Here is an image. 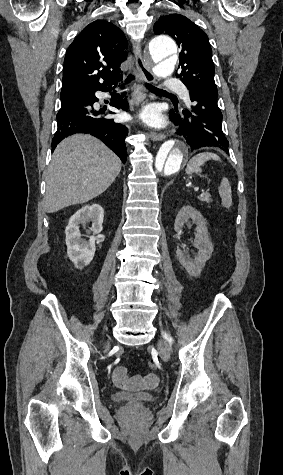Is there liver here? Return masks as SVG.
<instances>
[{"mask_svg":"<svg viewBox=\"0 0 283 475\" xmlns=\"http://www.w3.org/2000/svg\"><path fill=\"white\" fill-rule=\"evenodd\" d=\"M121 160L103 142L75 134L58 144L46 178L45 210L58 212L103 194L121 170Z\"/></svg>","mask_w":283,"mask_h":475,"instance_id":"liver-1","label":"liver"}]
</instances>
